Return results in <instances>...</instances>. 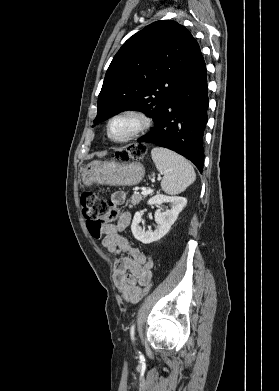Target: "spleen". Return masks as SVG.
Segmentation results:
<instances>
[{
    "instance_id": "spleen-1",
    "label": "spleen",
    "mask_w": 279,
    "mask_h": 391,
    "mask_svg": "<svg viewBox=\"0 0 279 391\" xmlns=\"http://www.w3.org/2000/svg\"><path fill=\"white\" fill-rule=\"evenodd\" d=\"M151 156L163 175L161 188L165 193L179 194L195 181V171L183 156L163 147L153 148Z\"/></svg>"
}]
</instances>
